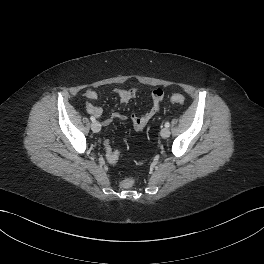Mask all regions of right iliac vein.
<instances>
[{
  "label": "right iliac vein",
  "instance_id": "1",
  "mask_svg": "<svg viewBox=\"0 0 264 264\" xmlns=\"http://www.w3.org/2000/svg\"><path fill=\"white\" fill-rule=\"evenodd\" d=\"M91 129L93 132H99L101 130V125L98 121H94L92 124H91Z\"/></svg>",
  "mask_w": 264,
  "mask_h": 264
}]
</instances>
